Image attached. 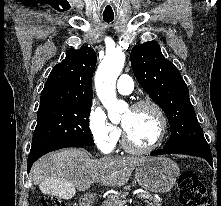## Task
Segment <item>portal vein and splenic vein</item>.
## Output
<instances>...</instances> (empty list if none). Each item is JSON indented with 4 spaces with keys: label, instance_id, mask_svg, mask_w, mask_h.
Wrapping results in <instances>:
<instances>
[{
    "label": "portal vein and splenic vein",
    "instance_id": "1",
    "mask_svg": "<svg viewBox=\"0 0 221 206\" xmlns=\"http://www.w3.org/2000/svg\"><path fill=\"white\" fill-rule=\"evenodd\" d=\"M139 197H141V198H147V197H149V196H145V195H141V196H139ZM127 201L126 200H124V204L126 203Z\"/></svg>",
    "mask_w": 221,
    "mask_h": 206
}]
</instances>
